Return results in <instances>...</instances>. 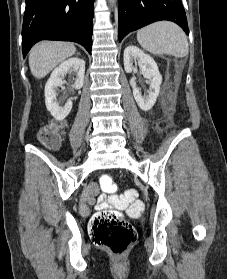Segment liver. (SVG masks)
<instances>
[{"mask_svg": "<svg viewBox=\"0 0 227 279\" xmlns=\"http://www.w3.org/2000/svg\"><path fill=\"white\" fill-rule=\"evenodd\" d=\"M75 52L76 48L72 43L61 41L39 42L29 53L30 71L35 78L41 79Z\"/></svg>", "mask_w": 227, "mask_h": 279, "instance_id": "liver-1", "label": "liver"}]
</instances>
